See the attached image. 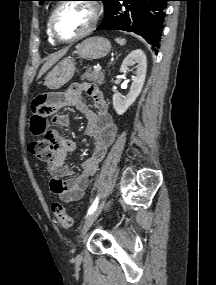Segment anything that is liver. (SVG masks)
<instances>
[{
    "instance_id": "6515ba94",
    "label": "liver",
    "mask_w": 216,
    "mask_h": 285,
    "mask_svg": "<svg viewBox=\"0 0 216 285\" xmlns=\"http://www.w3.org/2000/svg\"><path fill=\"white\" fill-rule=\"evenodd\" d=\"M68 49H64L52 55V57L42 66L39 71L38 78H40L52 65H54L61 57H63Z\"/></svg>"
}]
</instances>
